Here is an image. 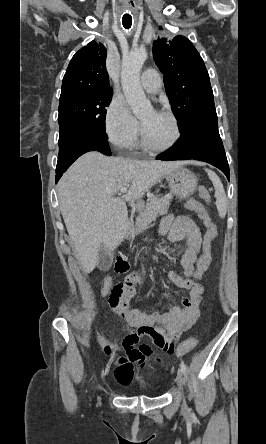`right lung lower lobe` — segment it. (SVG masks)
<instances>
[{"mask_svg": "<svg viewBox=\"0 0 266 444\" xmlns=\"http://www.w3.org/2000/svg\"><path fill=\"white\" fill-rule=\"evenodd\" d=\"M89 151H99L110 156L111 151L107 137L100 135L87 136L73 144L63 154L58 155L56 183L78 157Z\"/></svg>", "mask_w": 266, "mask_h": 444, "instance_id": "1", "label": "right lung lower lobe"}]
</instances>
